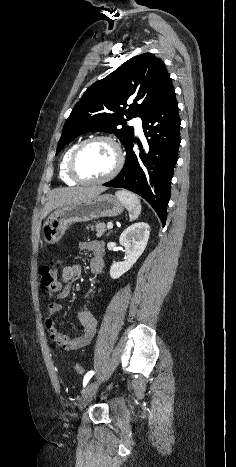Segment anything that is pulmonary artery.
<instances>
[{"mask_svg":"<svg viewBox=\"0 0 236 467\" xmlns=\"http://www.w3.org/2000/svg\"><path fill=\"white\" fill-rule=\"evenodd\" d=\"M132 123L135 127L137 133L142 134V121L141 118L136 117L132 120Z\"/></svg>","mask_w":236,"mask_h":467,"instance_id":"obj_1","label":"pulmonary artery"}]
</instances>
